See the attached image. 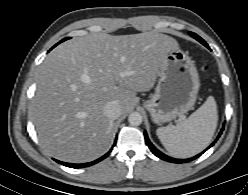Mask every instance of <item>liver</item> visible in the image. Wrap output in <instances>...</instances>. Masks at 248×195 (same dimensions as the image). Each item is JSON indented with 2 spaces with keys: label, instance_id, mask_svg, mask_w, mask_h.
I'll use <instances>...</instances> for the list:
<instances>
[{
  "label": "liver",
  "instance_id": "6515ba94",
  "mask_svg": "<svg viewBox=\"0 0 248 195\" xmlns=\"http://www.w3.org/2000/svg\"><path fill=\"white\" fill-rule=\"evenodd\" d=\"M177 41L149 31L114 36L93 33L66 41L40 65L30 113L51 156L72 163L95 160L113 143V120L104 106L116 101L128 113L137 92L155 84Z\"/></svg>",
  "mask_w": 248,
  "mask_h": 195
}]
</instances>
